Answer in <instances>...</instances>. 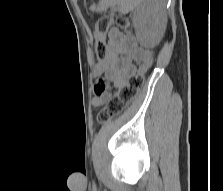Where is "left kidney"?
<instances>
[{"label": "left kidney", "mask_w": 223, "mask_h": 191, "mask_svg": "<svg viewBox=\"0 0 223 191\" xmlns=\"http://www.w3.org/2000/svg\"><path fill=\"white\" fill-rule=\"evenodd\" d=\"M133 23L143 46L158 44L166 27V0L145 1L134 14Z\"/></svg>", "instance_id": "1"}]
</instances>
